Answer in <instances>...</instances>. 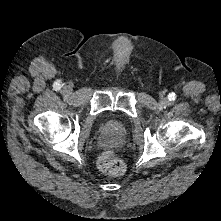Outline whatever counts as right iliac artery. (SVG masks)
<instances>
[{"instance_id": "82829eb1", "label": "right iliac artery", "mask_w": 221, "mask_h": 221, "mask_svg": "<svg viewBox=\"0 0 221 221\" xmlns=\"http://www.w3.org/2000/svg\"><path fill=\"white\" fill-rule=\"evenodd\" d=\"M56 89L58 90V89H59V86H57Z\"/></svg>"}]
</instances>
